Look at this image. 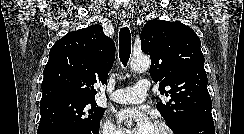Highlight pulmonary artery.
I'll return each instance as SVG.
<instances>
[{"instance_id": "pulmonary-artery-1", "label": "pulmonary artery", "mask_w": 244, "mask_h": 134, "mask_svg": "<svg viewBox=\"0 0 244 134\" xmlns=\"http://www.w3.org/2000/svg\"><path fill=\"white\" fill-rule=\"evenodd\" d=\"M148 80H140L133 87L117 89L111 94V99L120 104H135L142 102L149 90Z\"/></svg>"}]
</instances>
